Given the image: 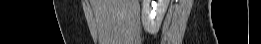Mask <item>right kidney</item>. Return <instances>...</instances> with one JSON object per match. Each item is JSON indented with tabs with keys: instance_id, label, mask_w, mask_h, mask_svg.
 Masks as SVG:
<instances>
[{
	"instance_id": "obj_1",
	"label": "right kidney",
	"mask_w": 261,
	"mask_h": 44,
	"mask_svg": "<svg viewBox=\"0 0 261 44\" xmlns=\"http://www.w3.org/2000/svg\"><path fill=\"white\" fill-rule=\"evenodd\" d=\"M168 4L169 0H143L142 24L148 33L155 34L159 30Z\"/></svg>"
}]
</instances>
